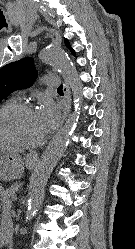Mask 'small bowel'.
Here are the masks:
<instances>
[{
    "label": "small bowel",
    "instance_id": "small-bowel-1",
    "mask_svg": "<svg viewBox=\"0 0 135 249\" xmlns=\"http://www.w3.org/2000/svg\"><path fill=\"white\" fill-rule=\"evenodd\" d=\"M8 208L6 207L5 211L7 212Z\"/></svg>",
    "mask_w": 135,
    "mask_h": 249
}]
</instances>
